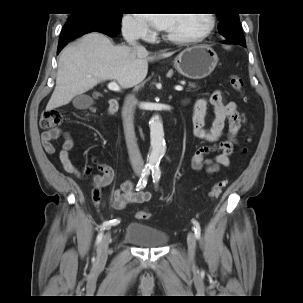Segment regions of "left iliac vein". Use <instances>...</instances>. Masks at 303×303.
<instances>
[{"instance_id":"1","label":"left iliac vein","mask_w":303,"mask_h":303,"mask_svg":"<svg viewBox=\"0 0 303 303\" xmlns=\"http://www.w3.org/2000/svg\"><path fill=\"white\" fill-rule=\"evenodd\" d=\"M188 257L191 262L195 260L196 238L193 232H190L187 237Z\"/></svg>"}]
</instances>
